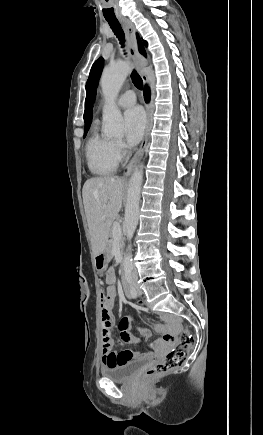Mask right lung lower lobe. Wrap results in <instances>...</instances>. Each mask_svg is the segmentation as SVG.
Returning a JSON list of instances; mask_svg holds the SVG:
<instances>
[{"label": "right lung lower lobe", "instance_id": "obj_1", "mask_svg": "<svg viewBox=\"0 0 263 435\" xmlns=\"http://www.w3.org/2000/svg\"><path fill=\"white\" fill-rule=\"evenodd\" d=\"M144 97H145L146 102H148L150 99V91H149L148 87H145V89H144Z\"/></svg>", "mask_w": 263, "mask_h": 435}]
</instances>
